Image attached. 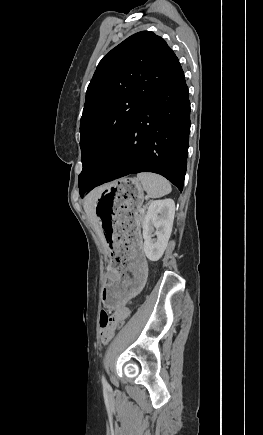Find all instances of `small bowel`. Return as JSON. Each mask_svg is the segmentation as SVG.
I'll return each mask as SVG.
<instances>
[{
	"mask_svg": "<svg viewBox=\"0 0 263 435\" xmlns=\"http://www.w3.org/2000/svg\"><path fill=\"white\" fill-rule=\"evenodd\" d=\"M143 260V259H142ZM130 311L126 305H120L119 310H115L113 315L114 321H105L104 328L105 330H115L117 322H124L125 319L129 316Z\"/></svg>",
	"mask_w": 263,
	"mask_h": 435,
	"instance_id": "small-bowel-1",
	"label": "small bowel"
}]
</instances>
